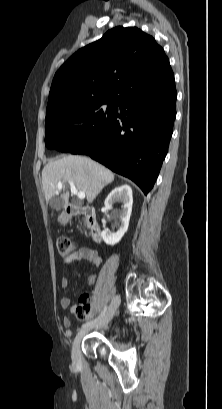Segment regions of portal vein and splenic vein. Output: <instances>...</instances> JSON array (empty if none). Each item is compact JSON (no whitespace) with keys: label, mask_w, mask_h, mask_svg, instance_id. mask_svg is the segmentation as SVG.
<instances>
[{"label":"portal vein and splenic vein","mask_w":222,"mask_h":409,"mask_svg":"<svg viewBox=\"0 0 222 409\" xmlns=\"http://www.w3.org/2000/svg\"><path fill=\"white\" fill-rule=\"evenodd\" d=\"M66 182V180H62L58 183V190L60 191L62 189L63 183ZM69 184H70V189H71V193L76 195L79 199H84L85 198V193L83 191H78L74 182L71 180H68Z\"/></svg>","instance_id":"18ae733b"}]
</instances>
